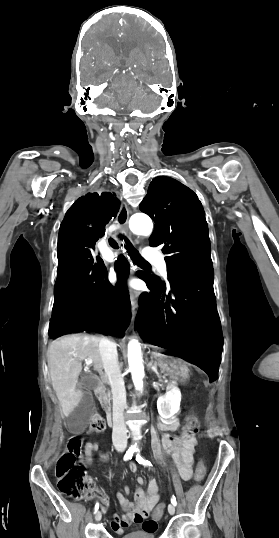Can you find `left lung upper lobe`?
<instances>
[{
	"label": "left lung upper lobe",
	"instance_id": "obj_1",
	"mask_svg": "<svg viewBox=\"0 0 279 538\" xmlns=\"http://www.w3.org/2000/svg\"><path fill=\"white\" fill-rule=\"evenodd\" d=\"M140 210L155 222L150 246L167 254L169 281L205 269H213L205 214L197 195L180 182L159 176L150 183ZM160 288L165 284L150 276Z\"/></svg>",
	"mask_w": 279,
	"mask_h": 538
}]
</instances>
